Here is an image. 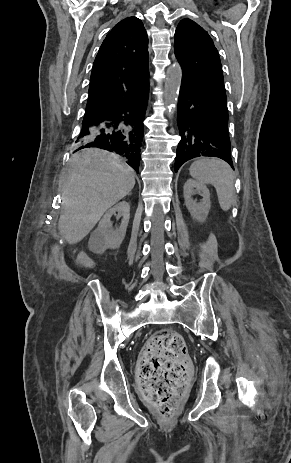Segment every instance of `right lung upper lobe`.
Wrapping results in <instances>:
<instances>
[{
    "label": "right lung upper lobe",
    "instance_id": "obj_1",
    "mask_svg": "<svg viewBox=\"0 0 291 463\" xmlns=\"http://www.w3.org/2000/svg\"><path fill=\"white\" fill-rule=\"evenodd\" d=\"M148 57V36L141 20L128 17L116 24L94 60L84 119L119 107L148 86Z\"/></svg>",
    "mask_w": 291,
    "mask_h": 463
}]
</instances>
